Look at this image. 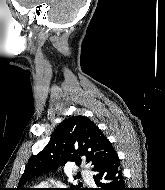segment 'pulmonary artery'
Returning <instances> with one entry per match:
<instances>
[{
    "label": "pulmonary artery",
    "instance_id": "1",
    "mask_svg": "<svg viewBox=\"0 0 165 190\" xmlns=\"http://www.w3.org/2000/svg\"><path fill=\"white\" fill-rule=\"evenodd\" d=\"M82 176L88 181V182H92V177L89 175V173L87 171H82L81 172Z\"/></svg>",
    "mask_w": 165,
    "mask_h": 190
}]
</instances>
